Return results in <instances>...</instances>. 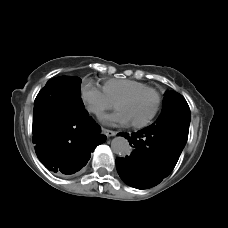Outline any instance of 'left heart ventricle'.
Segmentation results:
<instances>
[{"label": "left heart ventricle", "mask_w": 228, "mask_h": 228, "mask_svg": "<svg viewBox=\"0 0 228 228\" xmlns=\"http://www.w3.org/2000/svg\"><path fill=\"white\" fill-rule=\"evenodd\" d=\"M156 96L153 93L143 94L121 107L122 112L132 122L142 121L153 111Z\"/></svg>", "instance_id": "obj_1"}]
</instances>
